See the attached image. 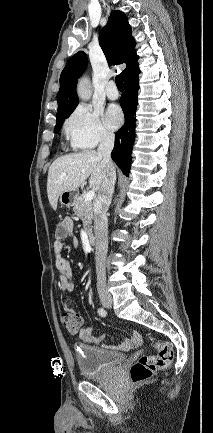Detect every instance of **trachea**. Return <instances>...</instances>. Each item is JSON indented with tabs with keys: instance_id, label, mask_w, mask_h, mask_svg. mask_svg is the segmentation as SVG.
Masks as SVG:
<instances>
[{
	"instance_id": "obj_1",
	"label": "trachea",
	"mask_w": 213,
	"mask_h": 433,
	"mask_svg": "<svg viewBox=\"0 0 213 433\" xmlns=\"http://www.w3.org/2000/svg\"><path fill=\"white\" fill-rule=\"evenodd\" d=\"M116 85L119 89H124V84L121 75H117L115 78Z\"/></svg>"
}]
</instances>
